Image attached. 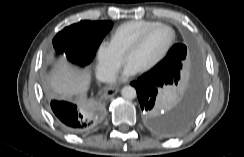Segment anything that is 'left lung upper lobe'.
<instances>
[{
    "instance_id": "obj_1",
    "label": "left lung upper lobe",
    "mask_w": 244,
    "mask_h": 157,
    "mask_svg": "<svg viewBox=\"0 0 244 157\" xmlns=\"http://www.w3.org/2000/svg\"><path fill=\"white\" fill-rule=\"evenodd\" d=\"M189 54L187 48L183 44L174 45L168 52L167 56L160 61L151 71H156L167 77L173 84L177 85L181 76L184 74L183 69L188 65ZM196 73L191 75L194 79Z\"/></svg>"
}]
</instances>
